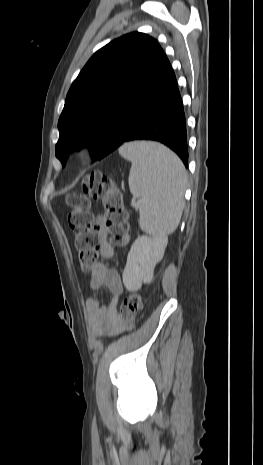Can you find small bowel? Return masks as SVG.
<instances>
[{"label":"small bowel","instance_id":"1","mask_svg":"<svg viewBox=\"0 0 263 465\" xmlns=\"http://www.w3.org/2000/svg\"><path fill=\"white\" fill-rule=\"evenodd\" d=\"M96 234L99 239L100 256L111 258L114 255V248L108 240L107 228L99 220L96 224ZM89 287L91 295L85 305V317L92 330L98 334L106 331L109 335H115L120 334L121 330H129V334H135L136 328L140 326L139 322H127L126 325H118L114 322L119 298L123 293V284L118 271L102 262L97 263L93 269ZM101 287L107 288L112 293V298L106 304H101L97 297V292Z\"/></svg>","mask_w":263,"mask_h":465}]
</instances>
